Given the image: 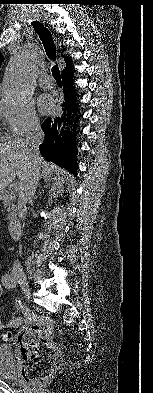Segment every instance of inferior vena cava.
Listing matches in <instances>:
<instances>
[{
    "instance_id": "602c4592",
    "label": "inferior vena cava",
    "mask_w": 153,
    "mask_h": 393,
    "mask_svg": "<svg viewBox=\"0 0 153 393\" xmlns=\"http://www.w3.org/2000/svg\"><path fill=\"white\" fill-rule=\"evenodd\" d=\"M43 140H44V133L40 128V124L35 121L29 126L27 130L26 139H25L26 144L31 151L37 152L38 146L41 144V142H43ZM39 177H40V163L34 165L33 171L21 185L20 193L18 197V206H17L18 215L21 219H24L26 217L27 214L26 205L35 194ZM12 273L14 275L24 274L20 262L18 261L14 262V265L12 267Z\"/></svg>"
}]
</instances>
